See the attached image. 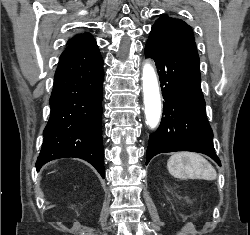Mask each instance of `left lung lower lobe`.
<instances>
[{
	"mask_svg": "<svg viewBox=\"0 0 250 235\" xmlns=\"http://www.w3.org/2000/svg\"><path fill=\"white\" fill-rule=\"evenodd\" d=\"M145 56L156 63L164 98V116L149 137L146 165L159 153L175 151L203 153L221 165L205 113L195 41H169L150 35Z\"/></svg>",
	"mask_w": 250,
	"mask_h": 235,
	"instance_id": "0a47b994",
	"label": "left lung lower lobe"
}]
</instances>
